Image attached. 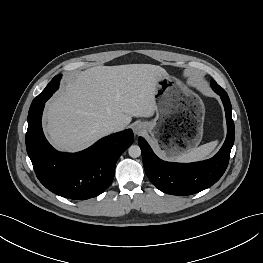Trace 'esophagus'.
Returning a JSON list of instances; mask_svg holds the SVG:
<instances>
[{
    "mask_svg": "<svg viewBox=\"0 0 263 263\" xmlns=\"http://www.w3.org/2000/svg\"><path fill=\"white\" fill-rule=\"evenodd\" d=\"M132 129L135 135H140L144 130V126L142 123H136L133 125Z\"/></svg>",
    "mask_w": 263,
    "mask_h": 263,
    "instance_id": "obj_1",
    "label": "esophagus"
}]
</instances>
